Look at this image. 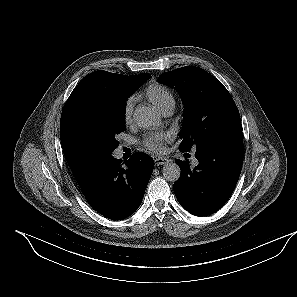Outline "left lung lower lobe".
I'll list each match as a JSON object with an SVG mask.
<instances>
[{
	"label": "left lung lower lobe",
	"mask_w": 297,
	"mask_h": 297,
	"mask_svg": "<svg viewBox=\"0 0 297 297\" xmlns=\"http://www.w3.org/2000/svg\"><path fill=\"white\" fill-rule=\"evenodd\" d=\"M199 164L191 169L188 161L177 159L180 178L173 189L181 206L196 216L218 211L230 198L243 163L242 134L196 150Z\"/></svg>",
	"instance_id": "left-lung-lower-lobe-1"
}]
</instances>
